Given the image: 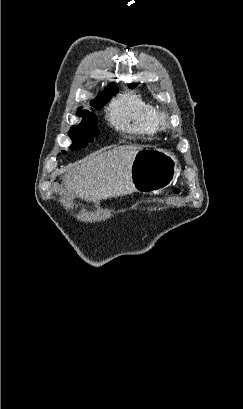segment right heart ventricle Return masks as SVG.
<instances>
[{
	"label": "right heart ventricle",
	"instance_id": "1",
	"mask_svg": "<svg viewBox=\"0 0 243 409\" xmlns=\"http://www.w3.org/2000/svg\"><path fill=\"white\" fill-rule=\"evenodd\" d=\"M157 107L132 92L114 100L109 109V121L122 132L152 138L158 132Z\"/></svg>",
	"mask_w": 243,
	"mask_h": 409
}]
</instances>
